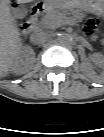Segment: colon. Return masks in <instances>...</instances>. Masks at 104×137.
I'll return each mask as SVG.
<instances>
[{"label":"colon","mask_w":104,"mask_h":137,"mask_svg":"<svg viewBox=\"0 0 104 137\" xmlns=\"http://www.w3.org/2000/svg\"><path fill=\"white\" fill-rule=\"evenodd\" d=\"M96 26V20L94 18H89L86 23V31L88 33L92 32Z\"/></svg>","instance_id":"1"}]
</instances>
